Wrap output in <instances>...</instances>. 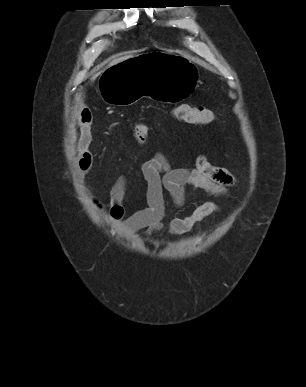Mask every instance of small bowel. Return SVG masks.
Masks as SVG:
<instances>
[{
  "label": "small bowel",
  "instance_id": "obj_1",
  "mask_svg": "<svg viewBox=\"0 0 306 387\" xmlns=\"http://www.w3.org/2000/svg\"><path fill=\"white\" fill-rule=\"evenodd\" d=\"M91 113L84 109L80 113V128L77 142L76 168L80 175L92 167L93 154L89 147L92 141ZM142 175L146 181L147 206L125 218L123 200L127 190V178L117 177L110 189L109 217L127 233L145 230L152 235L165 227L164 218L167 192L173 205L180 209L186 202V187L193 186L221 198L229 196V189L235 184V176L225 168L213 165L204 154L197 156L194 167L172 168L167 157L155 152L142 164ZM97 210L103 208L97 197L92 200ZM219 204L206 201L198 205L189 215L174 218L167 224L170 234L181 235L189 232L198 222L219 213Z\"/></svg>",
  "mask_w": 306,
  "mask_h": 387
}]
</instances>
